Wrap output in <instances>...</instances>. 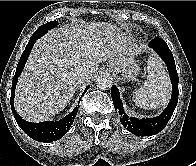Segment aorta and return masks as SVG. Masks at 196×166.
Listing matches in <instances>:
<instances>
[{"label":"aorta","mask_w":196,"mask_h":166,"mask_svg":"<svg viewBox=\"0 0 196 166\" xmlns=\"http://www.w3.org/2000/svg\"><path fill=\"white\" fill-rule=\"evenodd\" d=\"M113 85V77L109 73H102L96 78V86L101 89H109Z\"/></svg>","instance_id":"obj_1"}]
</instances>
